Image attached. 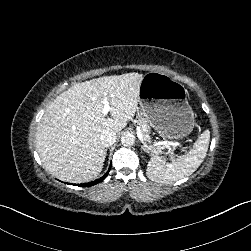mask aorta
Instances as JSON below:
<instances>
[{
    "label": "aorta",
    "mask_w": 251,
    "mask_h": 251,
    "mask_svg": "<svg viewBox=\"0 0 251 251\" xmlns=\"http://www.w3.org/2000/svg\"><path fill=\"white\" fill-rule=\"evenodd\" d=\"M120 142L123 146H133L135 143V137L131 133H123Z\"/></svg>",
    "instance_id": "aorta-1"
}]
</instances>
